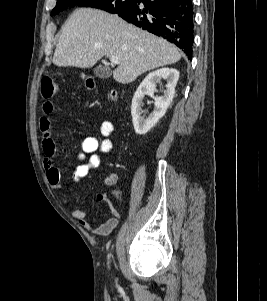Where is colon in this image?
Segmentation results:
<instances>
[{
    "label": "colon",
    "mask_w": 267,
    "mask_h": 301,
    "mask_svg": "<svg viewBox=\"0 0 267 301\" xmlns=\"http://www.w3.org/2000/svg\"><path fill=\"white\" fill-rule=\"evenodd\" d=\"M58 86L56 82L50 77H44L41 80V95L45 99H50L56 95ZM111 99H116L117 94L115 92L110 93Z\"/></svg>",
    "instance_id": "obj_1"
}]
</instances>
